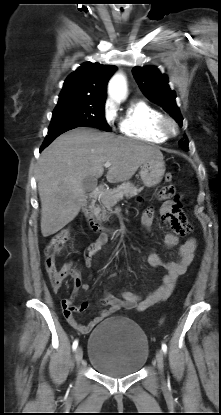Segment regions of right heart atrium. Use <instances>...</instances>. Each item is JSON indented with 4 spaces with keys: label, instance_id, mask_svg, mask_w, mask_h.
<instances>
[{
    "label": "right heart atrium",
    "instance_id": "obj_1",
    "mask_svg": "<svg viewBox=\"0 0 221 415\" xmlns=\"http://www.w3.org/2000/svg\"><path fill=\"white\" fill-rule=\"evenodd\" d=\"M103 118L108 126H113L117 120V113L114 105L111 102H107L103 109Z\"/></svg>",
    "mask_w": 221,
    "mask_h": 415
}]
</instances>
